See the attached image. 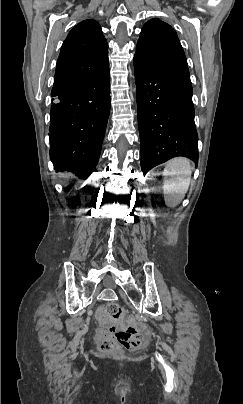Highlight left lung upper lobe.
<instances>
[{
	"label": "left lung upper lobe",
	"instance_id": "left-lung-upper-lobe-1",
	"mask_svg": "<svg viewBox=\"0 0 243 404\" xmlns=\"http://www.w3.org/2000/svg\"><path fill=\"white\" fill-rule=\"evenodd\" d=\"M134 58L165 72L189 76L186 57L176 32L156 18L143 26Z\"/></svg>",
	"mask_w": 243,
	"mask_h": 404
}]
</instances>
